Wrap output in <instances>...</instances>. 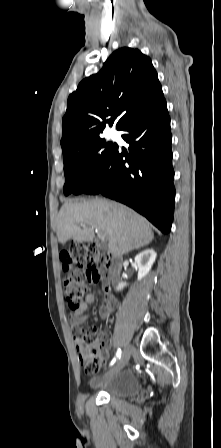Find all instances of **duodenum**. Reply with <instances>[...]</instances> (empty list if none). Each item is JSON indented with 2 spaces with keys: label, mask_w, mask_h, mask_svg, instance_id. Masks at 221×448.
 <instances>
[{
  "label": "duodenum",
  "mask_w": 221,
  "mask_h": 448,
  "mask_svg": "<svg viewBox=\"0 0 221 448\" xmlns=\"http://www.w3.org/2000/svg\"><path fill=\"white\" fill-rule=\"evenodd\" d=\"M121 260L119 257H117L115 254L111 253L110 254V259H109V263H108V275L110 280H114L117 275L119 274L120 270H121Z\"/></svg>",
  "instance_id": "1"
}]
</instances>
